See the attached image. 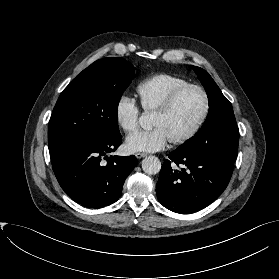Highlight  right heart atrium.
<instances>
[{
    "mask_svg": "<svg viewBox=\"0 0 279 279\" xmlns=\"http://www.w3.org/2000/svg\"><path fill=\"white\" fill-rule=\"evenodd\" d=\"M140 108L130 97L121 96L115 106V120L117 125L127 134L138 128Z\"/></svg>",
    "mask_w": 279,
    "mask_h": 279,
    "instance_id": "1",
    "label": "right heart atrium"
}]
</instances>
